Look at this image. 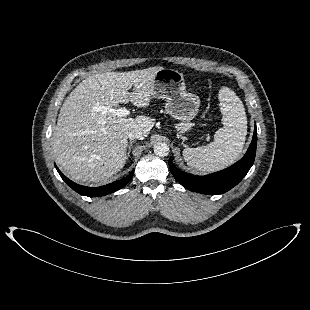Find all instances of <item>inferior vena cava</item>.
I'll use <instances>...</instances> for the list:
<instances>
[{
    "label": "inferior vena cava",
    "instance_id": "inferior-vena-cava-1",
    "mask_svg": "<svg viewBox=\"0 0 310 310\" xmlns=\"http://www.w3.org/2000/svg\"><path fill=\"white\" fill-rule=\"evenodd\" d=\"M127 136H128V138L130 140H132V139H140V140H142L144 138L143 133L141 131H139V130H132V131H130L128 133Z\"/></svg>",
    "mask_w": 310,
    "mask_h": 310
}]
</instances>
